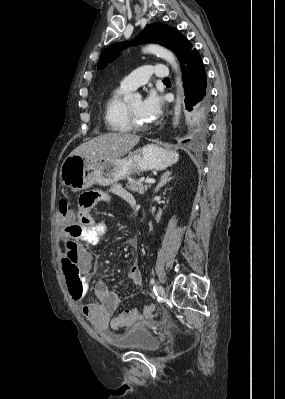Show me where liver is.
I'll list each match as a JSON object with an SVG mask.
<instances>
[{
	"label": "liver",
	"mask_w": 285,
	"mask_h": 399,
	"mask_svg": "<svg viewBox=\"0 0 285 399\" xmlns=\"http://www.w3.org/2000/svg\"><path fill=\"white\" fill-rule=\"evenodd\" d=\"M139 140V136L129 133H106L81 144L70 155H80L91 161L119 159L133 149Z\"/></svg>",
	"instance_id": "obj_1"
}]
</instances>
